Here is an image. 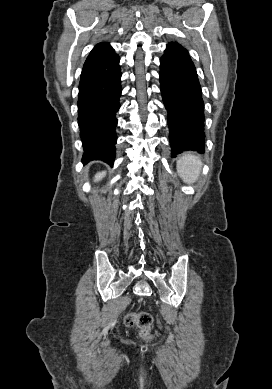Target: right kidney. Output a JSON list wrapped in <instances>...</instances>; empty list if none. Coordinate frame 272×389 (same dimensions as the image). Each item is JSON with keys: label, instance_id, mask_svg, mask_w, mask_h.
<instances>
[{"label": "right kidney", "instance_id": "obj_1", "mask_svg": "<svg viewBox=\"0 0 272 389\" xmlns=\"http://www.w3.org/2000/svg\"><path fill=\"white\" fill-rule=\"evenodd\" d=\"M105 175H106V172H105V171L99 172V173H97V174L95 175L94 180H95V181H99V180H101Z\"/></svg>", "mask_w": 272, "mask_h": 389}]
</instances>
